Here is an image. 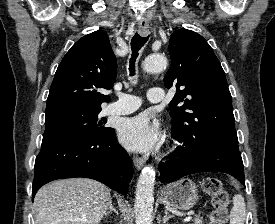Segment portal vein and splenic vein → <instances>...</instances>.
Wrapping results in <instances>:
<instances>
[{
	"instance_id": "1",
	"label": "portal vein and splenic vein",
	"mask_w": 275,
	"mask_h": 224,
	"mask_svg": "<svg viewBox=\"0 0 275 224\" xmlns=\"http://www.w3.org/2000/svg\"><path fill=\"white\" fill-rule=\"evenodd\" d=\"M191 219H192V216H187L184 218L183 221L186 223V222H189Z\"/></svg>"
}]
</instances>
